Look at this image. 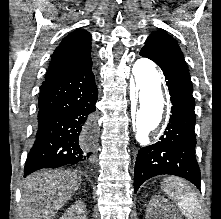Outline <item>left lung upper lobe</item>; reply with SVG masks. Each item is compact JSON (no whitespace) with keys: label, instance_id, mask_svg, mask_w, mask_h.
<instances>
[{"label":"left lung upper lobe","instance_id":"obj_1","mask_svg":"<svg viewBox=\"0 0 221 219\" xmlns=\"http://www.w3.org/2000/svg\"><path fill=\"white\" fill-rule=\"evenodd\" d=\"M150 53L172 59L188 70L186 62L176 41L163 30L152 33L145 41V46Z\"/></svg>","mask_w":221,"mask_h":219}]
</instances>
